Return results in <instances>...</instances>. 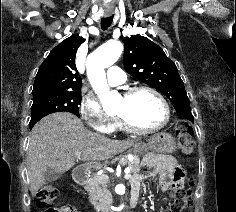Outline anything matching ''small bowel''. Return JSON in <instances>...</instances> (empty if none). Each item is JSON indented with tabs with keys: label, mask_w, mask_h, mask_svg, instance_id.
<instances>
[{
	"label": "small bowel",
	"mask_w": 236,
	"mask_h": 212,
	"mask_svg": "<svg viewBox=\"0 0 236 212\" xmlns=\"http://www.w3.org/2000/svg\"><path fill=\"white\" fill-rule=\"evenodd\" d=\"M149 175H159L164 186L172 181L182 183L181 171L177 169L175 161L167 155H152L147 158L143 169L132 182V190L140 188V183ZM61 212H76L71 206H64Z\"/></svg>",
	"instance_id": "c3829d8e"
}]
</instances>
